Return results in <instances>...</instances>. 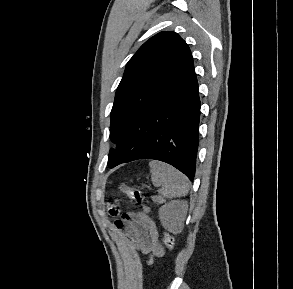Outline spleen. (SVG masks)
I'll return each mask as SVG.
<instances>
[{
	"label": "spleen",
	"mask_w": 293,
	"mask_h": 289,
	"mask_svg": "<svg viewBox=\"0 0 293 289\" xmlns=\"http://www.w3.org/2000/svg\"><path fill=\"white\" fill-rule=\"evenodd\" d=\"M151 180L159 193L166 198L183 197L188 193L187 178L174 167L159 161L150 162Z\"/></svg>",
	"instance_id": "3e777b00"
}]
</instances>
